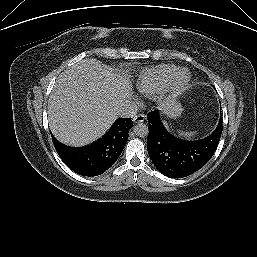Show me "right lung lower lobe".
I'll return each instance as SVG.
<instances>
[{
    "instance_id": "right-lung-lower-lobe-1",
    "label": "right lung lower lobe",
    "mask_w": 257,
    "mask_h": 257,
    "mask_svg": "<svg viewBox=\"0 0 257 257\" xmlns=\"http://www.w3.org/2000/svg\"><path fill=\"white\" fill-rule=\"evenodd\" d=\"M132 126L131 118H119L101 139L84 147L64 145L53 135L52 140L60 158L71 170L92 177L104 173L117 161Z\"/></svg>"
}]
</instances>
